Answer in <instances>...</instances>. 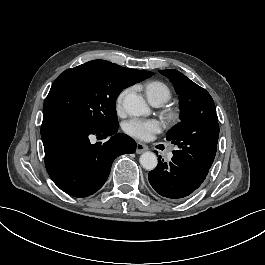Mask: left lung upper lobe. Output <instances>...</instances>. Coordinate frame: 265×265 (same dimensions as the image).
<instances>
[{
  "instance_id": "left-lung-upper-lobe-1",
  "label": "left lung upper lobe",
  "mask_w": 265,
  "mask_h": 265,
  "mask_svg": "<svg viewBox=\"0 0 265 265\" xmlns=\"http://www.w3.org/2000/svg\"><path fill=\"white\" fill-rule=\"evenodd\" d=\"M180 95L181 122L167 132V140L178 145L173 155L208 174L217 150L219 124L210 94L177 70H161Z\"/></svg>"
}]
</instances>
